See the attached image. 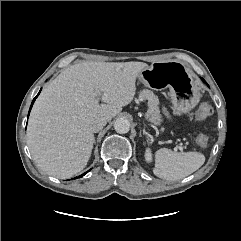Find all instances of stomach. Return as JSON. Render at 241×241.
<instances>
[{
  "label": "stomach",
  "mask_w": 241,
  "mask_h": 241,
  "mask_svg": "<svg viewBox=\"0 0 241 241\" xmlns=\"http://www.w3.org/2000/svg\"><path fill=\"white\" fill-rule=\"evenodd\" d=\"M138 79L156 91L169 88L173 109L177 114L187 113L200 100L196 82L188 68L180 61L154 62L139 73Z\"/></svg>",
  "instance_id": "0dacf381"
}]
</instances>
